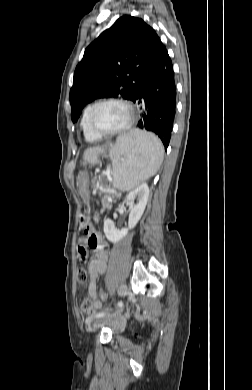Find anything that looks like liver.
Here are the masks:
<instances>
[{
  "label": "liver",
  "mask_w": 252,
  "mask_h": 390,
  "mask_svg": "<svg viewBox=\"0 0 252 390\" xmlns=\"http://www.w3.org/2000/svg\"><path fill=\"white\" fill-rule=\"evenodd\" d=\"M112 148H115V147H112ZM97 150H103V149H101V148H93V149H90V150H88V151H97ZM111 150H113V149H111ZM104 151V150H103ZM111 152V151H110Z\"/></svg>",
  "instance_id": "obj_1"
}]
</instances>
